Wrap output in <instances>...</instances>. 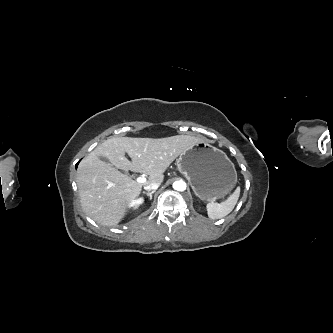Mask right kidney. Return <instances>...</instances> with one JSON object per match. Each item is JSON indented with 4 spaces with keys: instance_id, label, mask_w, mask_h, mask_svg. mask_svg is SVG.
Returning <instances> with one entry per match:
<instances>
[{
    "instance_id": "right-kidney-1",
    "label": "right kidney",
    "mask_w": 333,
    "mask_h": 333,
    "mask_svg": "<svg viewBox=\"0 0 333 333\" xmlns=\"http://www.w3.org/2000/svg\"><path fill=\"white\" fill-rule=\"evenodd\" d=\"M137 205L142 204L143 203V199H139L138 201L135 202ZM135 205V204H134Z\"/></svg>"
}]
</instances>
